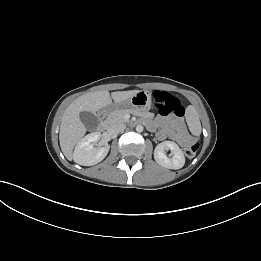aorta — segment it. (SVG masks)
<instances>
[{"label":"aorta","mask_w":261,"mask_h":261,"mask_svg":"<svg viewBox=\"0 0 261 261\" xmlns=\"http://www.w3.org/2000/svg\"><path fill=\"white\" fill-rule=\"evenodd\" d=\"M136 131L139 132V133L142 132L143 131V126L142 125H137L136 126Z\"/></svg>","instance_id":"aorta-1"}]
</instances>
